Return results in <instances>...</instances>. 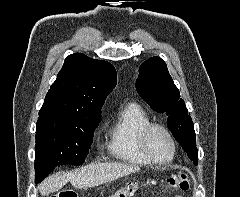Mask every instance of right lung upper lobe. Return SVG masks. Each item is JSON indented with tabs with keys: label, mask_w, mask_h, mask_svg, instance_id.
<instances>
[{
	"label": "right lung upper lobe",
	"mask_w": 240,
	"mask_h": 197,
	"mask_svg": "<svg viewBox=\"0 0 240 197\" xmlns=\"http://www.w3.org/2000/svg\"><path fill=\"white\" fill-rule=\"evenodd\" d=\"M116 82L112 64L82 53L69 55L45 97L39 116L100 118L104 100Z\"/></svg>",
	"instance_id": "cb5924a9"
}]
</instances>
